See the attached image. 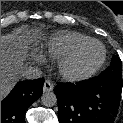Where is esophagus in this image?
<instances>
[{"mask_svg":"<svg viewBox=\"0 0 123 123\" xmlns=\"http://www.w3.org/2000/svg\"><path fill=\"white\" fill-rule=\"evenodd\" d=\"M52 90H53V84L51 83V81L46 80L44 82V85H43V91L44 92H50Z\"/></svg>","mask_w":123,"mask_h":123,"instance_id":"34e87169","label":"esophagus"}]
</instances>
